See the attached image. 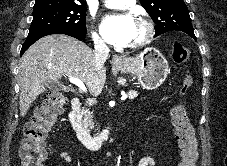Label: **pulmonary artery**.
<instances>
[{"instance_id": "obj_1", "label": "pulmonary artery", "mask_w": 227, "mask_h": 166, "mask_svg": "<svg viewBox=\"0 0 227 166\" xmlns=\"http://www.w3.org/2000/svg\"><path fill=\"white\" fill-rule=\"evenodd\" d=\"M105 5L112 9H125L129 8L135 3V0H105Z\"/></svg>"}]
</instances>
